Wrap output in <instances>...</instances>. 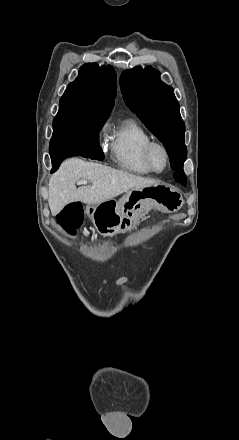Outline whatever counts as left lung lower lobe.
<instances>
[{
  "instance_id": "obj_1",
  "label": "left lung lower lobe",
  "mask_w": 239,
  "mask_h": 440,
  "mask_svg": "<svg viewBox=\"0 0 239 440\" xmlns=\"http://www.w3.org/2000/svg\"><path fill=\"white\" fill-rule=\"evenodd\" d=\"M176 180L182 184H185V174L183 170L176 171L175 176Z\"/></svg>"
}]
</instances>
